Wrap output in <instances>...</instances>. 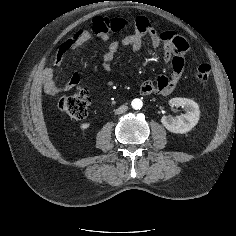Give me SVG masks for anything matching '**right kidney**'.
<instances>
[{
    "instance_id": "ca27d5eb",
    "label": "right kidney",
    "mask_w": 236,
    "mask_h": 236,
    "mask_svg": "<svg viewBox=\"0 0 236 236\" xmlns=\"http://www.w3.org/2000/svg\"><path fill=\"white\" fill-rule=\"evenodd\" d=\"M89 127H90V123H82V124L80 125V128H81L82 130L88 129Z\"/></svg>"
}]
</instances>
